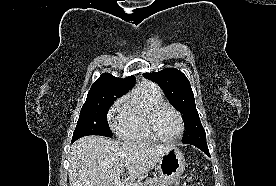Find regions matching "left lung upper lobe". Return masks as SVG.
<instances>
[{"instance_id": "obj_1", "label": "left lung upper lobe", "mask_w": 276, "mask_h": 186, "mask_svg": "<svg viewBox=\"0 0 276 186\" xmlns=\"http://www.w3.org/2000/svg\"><path fill=\"white\" fill-rule=\"evenodd\" d=\"M143 76L156 82L172 105L183 114L186 132L182 141L187 143L206 140V133L196 110L194 94L187 77L176 68L144 73Z\"/></svg>"}]
</instances>
